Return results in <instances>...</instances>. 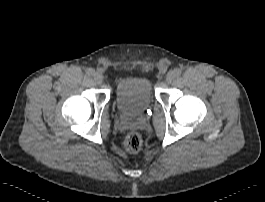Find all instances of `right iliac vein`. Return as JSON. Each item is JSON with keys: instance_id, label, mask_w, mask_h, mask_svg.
Listing matches in <instances>:
<instances>
[{"instance_id": "right-iliac-vein-1", "label": "right iliac vein", "mask_w": 265, "mask_h": 202, "mask_svg": "<svg viewBox=\"0 0 265 202\" xmlns=\"http://www.w3.org/2000/svg\"><path fill=\"white\" fill-rule=\"evenodd\" d=\"M93 79L94 81L97 83V84H101L103 79H102V76L99 72H94L93 73Z\"/></svg>"}]
</instances>
